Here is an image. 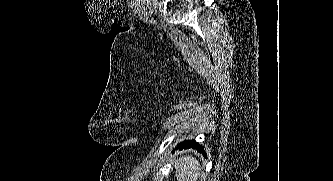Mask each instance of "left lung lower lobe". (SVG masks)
I'll return each mask as SVG.
<instances>
[{
  "instance_id": "obj_1",
  "label": "left lung lower lobe",
  "mask_w": 333,
  "mask_h": 181,
  "mask_svg": "<svg viewBox=\"0 0 333 181\" xmlns=\"http://www.w3.org/2000/svg\"><path fill=\"white\" fill-rule=\"evenodd\" d=\"M186 148H194V149H197L199 152L205 153L202 145H200L195 140L183 141L180 144H178L175 149L182 150V149H186Z\"/></svg>"
}]
</instances>
